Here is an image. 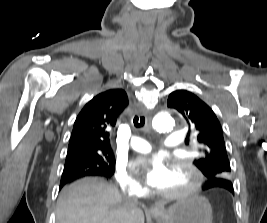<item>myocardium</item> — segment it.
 <instances>
[{
    "mask_svg": "<svg viewBox=\"0 0 267 223\" xmlns=\"http://www.w3.org/2000/svg\"><path fill=\"white\" fill-rule=\"evenodd\" d=\"M170 169L172 171H179L185 169L192 177L191 184L182 190L172 192L158 191V194L166 200H178L188 198L197 194L203 183V176L200 170L186 159H173L171 161Z\"/></svg>",
    "mask_w": 267,
    "mask_h": 223,
    "instance_id": "obj_1",
    "label": "myocardium"
}]
</instances>
